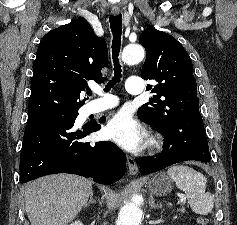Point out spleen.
I'll return each instance as SVG.
<instances>
[{
	"label": "spleen",
	"instance_id": "spleen-1",
	"mask_svg": "<svg viewBox=\"0 0 237 225\" xmlns=\"http://www.w3.org/2000/svg\"><path fill=\"white\" fill-rule=\"evenodd\" d=\"M176 186L182 190L189 200L193 212L200 215L209 214L214 207V198L206 192V177L185 165H176L167 171Z\"/></svg>",
	"mask_w": 237,
	"mask_h": 225
}]
</instances>
